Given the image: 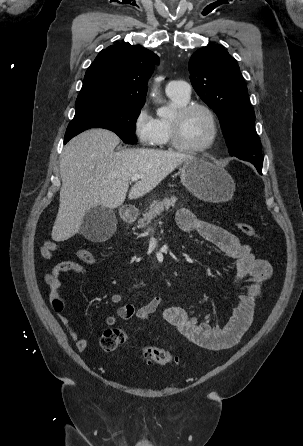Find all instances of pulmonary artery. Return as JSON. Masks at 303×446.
<instances>
[{"label":"pulmonary artery","mask_w":303,"mask_h":446,"mask_svg":"<svg viewBox=\"0 0 303 446\" xmlns=\"http://www.w3.org/2000/svg\"><path fill=\"white\" fill-rule=\"evenodd\" d=\"M166 92L169 94H178L183 97H189L190 85L183 80H172L167 84Z\"/></svg>","instance_id":"1"}]
</instances>
